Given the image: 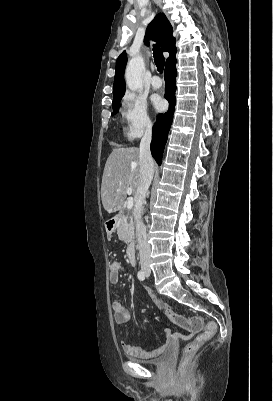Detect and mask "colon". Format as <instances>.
Instances as JSON below:
<instances>
[{"instance_id":"colon-1","label":"colon","mask_w":273,"mask_h":401,"mask_svg":"<svg viewBox=\"0 0 273 401\" xmlns=\"http://www.w3.org/2000/svg\"><path fill=\"white\" fill-rule=\"evenodd\" d=\"M141 288L145 290L146 293L150 292L146 283H143ZM147 299L152 302V305L156 310H161L162 313L164 312V314L168 316V319L173 321L175 324H178L179 327L185 328V330L190 333H200L198 337H193L192 340L187 342V344H184L181 363H179L177 369L182 381H191L193 379V374L192 368L189 365L190 358H196L197 353H202L203 342H210L212 340V336L217 330V320L209 319L207 325L201 319H192L188 321L184 315H181L179 312H172L169 306L162 305L160 299L154 294L148 295Z\"/></svg>"}]
</instances>
